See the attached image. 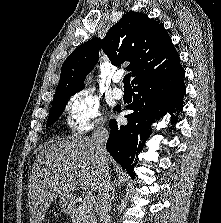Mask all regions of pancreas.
Here are the masks:
<instances>
[{
  "mask_svg": "<svg viewBox=\"0 0 221 223\" xmlns=\"http://www.w3.org/2000/svg\"><path fill=\"white\" fill-rule=\"evenodd\" d=\"M73 223H96L95 211L93 204L90 205L83 201L80 206L71 214Z\"/></svg>",
  "mask_w": 221,
  "mask_h": 223,
  "instance_id": "pancreas-1",
  "label": "pancreas"
}]
</instances>
